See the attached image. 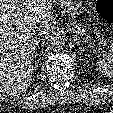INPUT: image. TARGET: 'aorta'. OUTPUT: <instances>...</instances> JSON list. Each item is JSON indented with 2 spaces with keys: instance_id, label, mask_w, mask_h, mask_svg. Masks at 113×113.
I'll list each match as a JSON object with an SVG mask.
<instances>
[{
  "instance_id": "obj_1",
  "label": "aorta",
  "mask_w": 113,
  "mask_h": 113,
  "mask_svg": "<svg viewBox=\"0 0 113 113\" xmlns=\"http://www.w3.org/2000/svg\"><path fill=\"white\" fill-rule=\"evenodd\" d=\"M65 44V38L60 33H52L45 40V46L49 51H59Z\"/></svg>"
}]
</instances>
